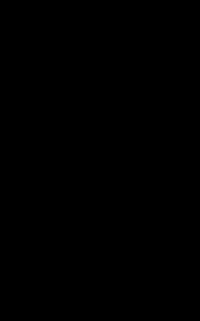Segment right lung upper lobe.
Listing matches in <instances>:
<instances>
[{
    "label": "right lung upper lobe",
    "mask_w": 200,
    "mask_h": 321,
    "mask_svg": "<svg viewBox=\"0 0 200 321\" xmlns=\"http://www.w3.org/2000/svg\"><path fill=\"white\" fill-rule=\"evenodd\" d=\"M91 128V123H68L50 127L34 137L24 147L22 155L34 148L52 149L72 163L76 145ZM32 181L33 177L24 174L19 169L15 180V192L18 200L20 192Z\"/></svg>",
    "instance_id": "obj_1"
}]
</instances>
